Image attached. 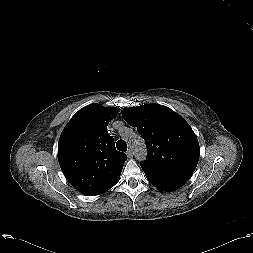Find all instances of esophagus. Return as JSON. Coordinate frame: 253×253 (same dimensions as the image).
Wrapping results in <instances>:
<instances>
[{
    "label": "esophagus",
    "mask_w": 253,
    "mask_h": 253,
    "mask_svg": "<svg viewBox=\"0 0 253 253\" xmlns=\"http://www.w3.org/2000/svg\"><path fill=\"white\" fill-rule=\"evenodd\" d=\"M126 154H127L128 158H132L133 157V152H132L131 149H129Z\"/></svg>",
    "instance_id": "1"
}]
</instances>
